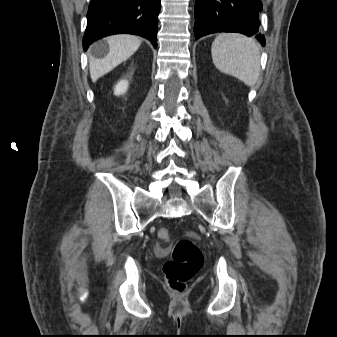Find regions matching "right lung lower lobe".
<instances>
[{"mask_svg": "<svg viewBox=\"0 0 337 337\" xmlns=\"http://www.w3.org/2000/svg\"><path fill=\"white\" fill-rule=\"evenodd\" d=\"M160 0H91L83 48L112 34L129 33L147 38L157 47Z\"/></svg>", "mask_w": 337, "mask_h": 337, "instance_id": "98d812e1", "label": "right lung lower lobe"}]
</instances>
